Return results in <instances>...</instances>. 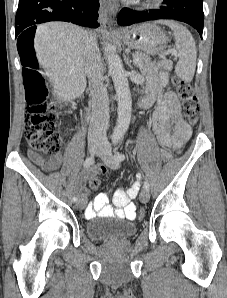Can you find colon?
Segmentation results:
<instances>
[{
  "label": "colon",
  "instance_id": "obj_1",
  "mask_svg": "<svg viewBox=\"0 0 227 298\" xmlns=\"http://www.w3.org/2000/svg\"><path fill=\"white\" fill-rule=\"evenodd\" d=\"M24 89L26 98L25 138L29 146L38 152L58 154L63 145V135L56 130V106L50 101V89L38 71L33 58H28L24 70ZM189 124L195 125L200 117L199 103L190 83L174 79ZM104 171V168L102 169ZM98 178H92L90 186L97 188ZM145 208H140V217H145Z\"/></svg>",
  "mask_w": 227,
  "mask_h": 298
}]
</instances>
